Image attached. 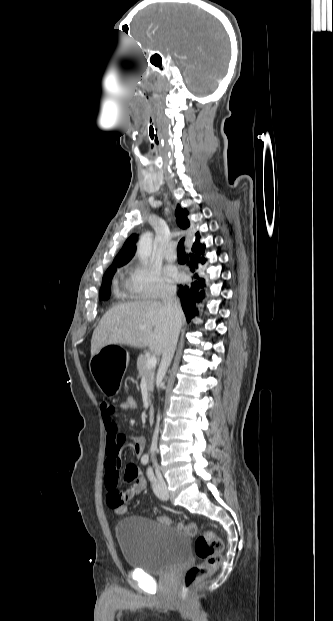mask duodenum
I'll use <instances>...</instances> for the list:
<instances>
[{
	"label": "duodenum",
	"instance_id": "obj_1",
	"mask_svg": "<svg viewBox=\"0 0 333 621\" xmlns=\"http://www.w3.org/2000/svg\"><path fill=\"white\" fill-rule=\"evenodd\" d=\"M155 422V409L154 408H150L148 410V423L150 425H153Z\"/></svg>",
	"mask_w": 333,
	"mask_h": 621
}]
</instances>
